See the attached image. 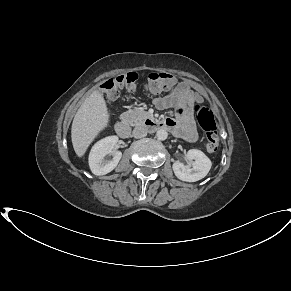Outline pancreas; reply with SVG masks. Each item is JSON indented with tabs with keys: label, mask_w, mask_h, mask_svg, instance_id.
Segmentation results:
<instances>
[{
	"label": "pancreas",
	"mask_w": 291,
	"mask_h": 291,
	"mask_svg": "<svg viewBox=\"0 0 291 291\" xmlns=\"http://www.w3.org/2000/svg\"><path fill=\"white\" fill-rule=\"evenodd\" d=\"M128 122L132 126L140 125L149 117V113L142 108H136L125 113Z\"/></svg>",
	"instance_id": "obj_1"
}]
</instances>
